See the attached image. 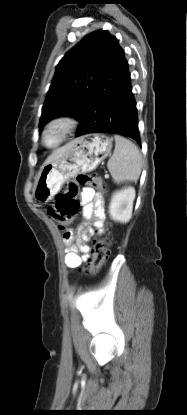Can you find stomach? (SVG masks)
Returning <instances> with one entry per match:
<instances>
[{
	"instance_id": "0dacf381",
	"label": "stomach",
	"mask_w": 187,
	"mask_h": 415,
	"mask_svg": "<svg viewBox=\"0 0 187 415\" xmlns=\"http://www.w3.org/2000/svg\"><path fill=\"white\" fill-rule=\"evenodd\" d=\"M112 146L113 138L105 134H90L70 142L62 156L40 168L32 192L34 199L49 202L66 180L94 170L110 155Z\"/></svg>"
}]
</instances>
